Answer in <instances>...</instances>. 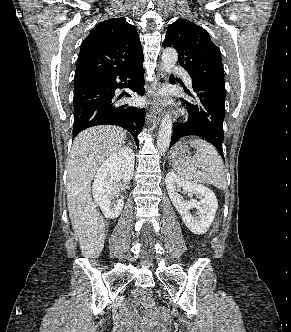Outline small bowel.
<instances>
[{"label": "small bowel", "instance_id": "1", "mask_svg": "<svg viewBox=\"0 0 291 332\" xmlns=\"http://www.w3.org/2000/svg\"><path fill=\"white\" fill-rule=\"evenodd\" d=\"M145 299L149 298H143V303ZM146 313L147 317L142 321V325L146 328L158 327L167 320V313L163 312V310L156 309L154 306L152 309H147ZM125 326L129 327L130 323L125 322Z\"/></svg>", "mask_w": 291, "mask_h": 332}]
</instances>
